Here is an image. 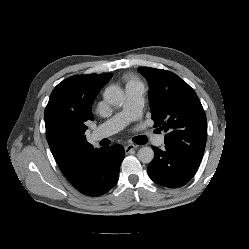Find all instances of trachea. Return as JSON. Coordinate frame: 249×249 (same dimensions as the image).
I'll return each instance as SVG.
<instances>
[{
    "mask_svg": "<svg viewBox=\"0 0 249 249\" xmlns=\"http://www.w3.org/2000/svg\"><path fill=\"white\" fill-rule=\"evenodd\" d=\"M134 141L137 143V144H146L148 142V139L146 138V136H137L134 138Z\"/></svg>",
    "mask_w": 249,
    "mask_h": 249,
    "instance_id": "1",
    "label": "trachea"
}]
</instances>
